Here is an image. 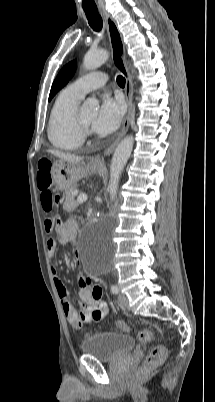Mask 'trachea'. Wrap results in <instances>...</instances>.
Returning a JSON list of instances; mask_svg holds the SVG:
<instances>
[{
  "label": "trachea",
  "instance_id": "trachea-1",
  "mask_svg": "<svg viewBox=\"0 0 215 402\" xmlns=\"http://www.w3.org/2000/svg\"><path fill=\"white\" fill-rule=\"evenodd\" d=\"M84 12L87 16L88 19V23L91 26V28L94 31H101L102 27H103V22H102V18L98 12L97 9H84ZM125 78L122 76H118L117 77V83L119 86L124 87L125 86Z\"/></svg>",
  "mask_w": 215,
  "mask_h": 402
}]
</instances>
